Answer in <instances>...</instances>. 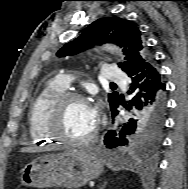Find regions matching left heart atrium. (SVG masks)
<instances>
[{
    "instance_id": "left-heart-atrium-1",
    "label": "left heart atrium",
    "mask_w": 188,
    "mask_h": 189,
    "mask_svg": "<svg viewBox=\"0 0 188 189\" xmlns=\"http://www.w3.org/2000/svg\"><path fill=\"white\" fill-rule=\"evenodd\" d=\"M90 114L93 120L96 122L99 118V109L97 105L90 106Z\"/></svg>"
}]
</instances>
